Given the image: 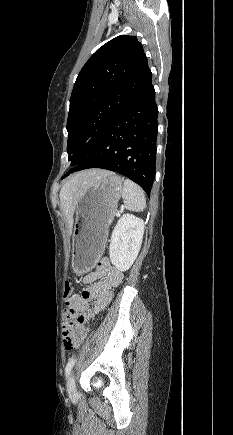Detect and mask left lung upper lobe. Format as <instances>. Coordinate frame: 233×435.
<instances>
[{"label": "left lung upper lobe", "mask_w": 233, "mask_h": 435, "mask_svg": "<svg viewBox=\"0 0 233 435\" xmlns=\"http://www.w3.org/2000/svg\"><path fill=\"white\" fill-rule=\"evenodd\" d=\"M151 79L147 57L136 36H117L89 58L70 98L67 152L71 166L86 158Z\"/></svg>", "instance_id": "1"}]
</instances>
